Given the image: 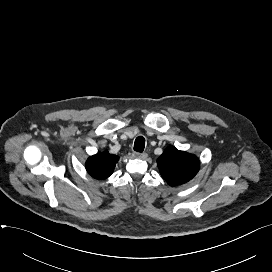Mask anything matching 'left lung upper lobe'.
I'll use <instances>...</instances> for the list:
<instances>
[{
  "instance_id": "5c2ea615",
  "label": "left lung upper lobe",
  "mask_w": 272,
  "mask_h": 272,
  "mask_svg": "<svg viewBox=\"0 0 272 272\" xmlns=\"http://www.w3.org/2000/svg\"><path fill=\"white\" fill-rule=\"evenodd\" d=\"M157 165L166 182L171 186H178L197 174L200 162L197 156L169 146L157 159Z\"/></svg>"
}]
</instances>
